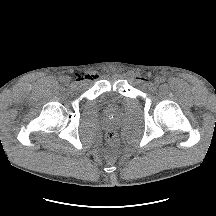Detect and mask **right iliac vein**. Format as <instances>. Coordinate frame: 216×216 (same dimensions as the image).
I'll return each instance as SVG.
<instances>
[{"label":"right iliac vein","mask_w":216,"mask_h":216,"mask_svg":"<svg viewBox=\"0 0 216 216\" xmlns=\"http://www.w3.org/2000/svg\"><path fill=\"white\" fill-rule=\"evenodd\" d=\"M62 80H63V79H62ZM64 81H65V82H68V81H69V78H68V77H65V78H64Z\"/></svg>","instance_id":"63e3f726"}]
</instances>
